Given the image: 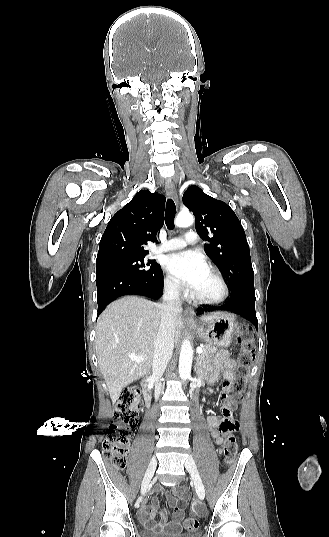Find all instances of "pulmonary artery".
<instances>
[{"label":"pulmonary artery","instance_id":"1","mask_svg":"<svg viewBox=\"0 0 329 537\" xmlns=\"http://www.w3.org/2000/svg\"><path fill=\"white\" fill-rule=\"evenodd\" d=\"M198 242L197 234L194 231H188L183 238H173L168 240L165 244L158 247L156 252H169L179 250L187 245H195Z\"/></svg>","mask_w":329,"mask_h":537}]
</instances>
